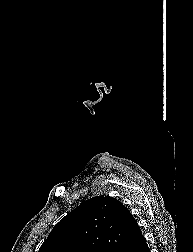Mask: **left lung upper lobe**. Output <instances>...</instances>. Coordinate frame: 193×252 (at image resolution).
<instances>
[{"instance_id":"left-lung-upper-lobe-1","label":"left lung upper lobe","mask_w":193,"mask_h":252,"mask_svg":"<svg viewBox=\"0 0 193 252\" xmlns=\"http://www.w3.org/2000/svg\"><path fill=\"white\" fill-rule=\"evenodd\" d=\"M137 227L120 201L96 196L58 222L39 252H122Z\"/></svg>"}]
</instances>
